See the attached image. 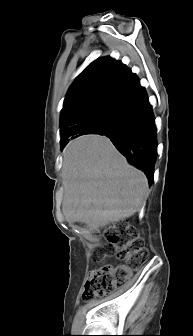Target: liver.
I'll list each match as a JSON object with an SVG mask.
<instances>
[{
    "mask_svg": "<svg viewBox=\"0 0 193 336\" xmlns=\"http://www.w3.org/2000/svg\"><path fill=\"white\" fill-rule=\"evenodd\" d=\"M62 185L66 221L85 224L92 231L131 217L148 195L144 173L100 135L81 136L66 145Z\"/></svg>",
    "mask_w": 193,
    "mask_h": 336,
    "instance_id": "liver-1",
    "label": "liver"
}]
</instances>
